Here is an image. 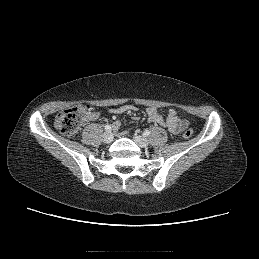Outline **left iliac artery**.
I'll return each instance as SVG.
<instances>
[{
    "mask_svg": "<svg viewBox=\"0 0 259 259\" xmlns=\"http://www.w3.org/2000/svg\"><path fill=\"white\" fill-rule=\"evenodd\" d=\"M144 135H145V136L150 135V131H149V130H145V131H144Z\"/></svg>",
    "mask_w": 259,
    "mask_h": 259,
    "instance_id": "obj_1",
    "label": "left iliac artery"
}]
</instances>
